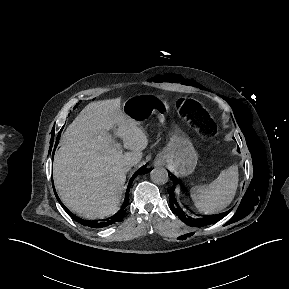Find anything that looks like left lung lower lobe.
<instances>
[{"instance_id": "left-lung-lower-lobe-1", "label": "left lung lower lobe", "mask_w": 289, "mask_h": 289, "mask_svg": "<svg viewBox=\"0 0 289 289\" xmlns=\"http://www.w3.org/2000/svg\"><path fill=\"white\" fill-rule=\"evenodd\" d=\"M174 189H175V186L173 185V187L169 190V195H170L169 202H170V205L172 207V211L174 214L178 215V217L186 224H188L190 226L201 227V226H205V225H209V224H212L214 222H217L223 216V215H215V216L208 217V218L194 219L190 216L185 215L182 208L180 207V205L178 204V202L175 198ZM225 214L226 213H224V215Z\"/></svg>"}]
</instances>
